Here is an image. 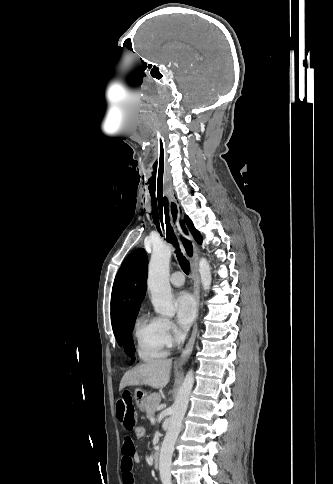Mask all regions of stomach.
Returning a JSON list of instances; mask_svg holds the SVG:
<instances>
[{
  "label": "stomach",
  "instance_id": "1",
  "mask_svg": "<svg viewBox=\"0 0 333 484\" xmlns=\"http://www.w3.org/2000/svg\"><path fill=\"white\" fill-rule=\"evenodd\" d=\"M135 400H136V405L140 410H145L146 406V401L148 398V394L143 391L142 389L138 388L135 390Z\"/></svg>",
  "mask_w": 333,
  "mask_h": 484
}]
</instances>
